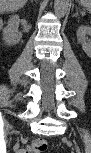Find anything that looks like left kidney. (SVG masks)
<instances>
[{
    "mask_svg": "<svg viewBox=\"0 0 91 153\" xmlns=\"http://www.w3.org/2000/svg\"><path fill=\"white\" fill-rule=\"evenodd\" d=\"M91 28L89 26H81L77 30V39L82 43V48L85 53L90 56L91 55V45L86 41V35L90 34Z\"/></svg>",
    "mask_w": 91,
    "mask_h": 153,
    "instance_id": "5707ae66",
    "label": "left kidney"
}]
</instances>
